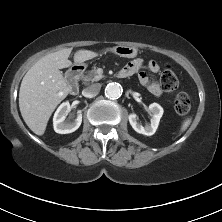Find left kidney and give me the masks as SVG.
Instances as JSON below:
<instances>
[{"instance_id":"left-kidney-1","label":"left kidney","mask_w":222,"mask_h":222,"mask_svg":"<svg viewBox=\"0 0 222 222\" xmlns=\"http://www.w3.org/2000/svg\"><path fill=\"white\" fill-rule=\"evenodd\" d=\"M148 110L151 113V123L145 127L138 123V117L135 113H131L128 119L130 125L137 133L151 136L156 132L164 111L163 108L157 103H152Z\"/></svg>"}]
</instances>
